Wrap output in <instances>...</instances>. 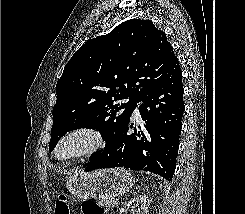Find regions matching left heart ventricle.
<instances>
[{"label": "left heart ventricle", "instance_id": "obj_1", "mask_svg": "<svg viewBox=\"0 0 245 214\" xmlns=\"http://www.w3.org/2000/svg\"><path fill=\"white\" fill-rule=\"evenodd\" d=\"M89 138L83 135L73 136L65 141L59 149V155L61 157H67L74 155L89 145Z\"/></svg>", "mask_w": 245, "mask_h": 214}]
</instances>
